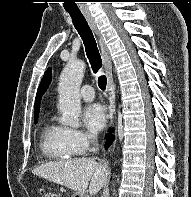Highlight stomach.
Returning a JSON list of instances; mask_svg holds the SVG:
<instances>
[{
	"label": "stomach",
	"mask_w": 191,
	"mask_h": 197,
	"mask_svg": "<svg viewBox=\"0 0 191 197\" xmlns=\"http://www.w3.org/2000/svg\"><path fill=\"white\" fill-rule=\"evenodd\" d=\"M72 197H83V195L79 194V193H74Z\"/></svg>",
	"instance_id": "1"
}]
</instances>
